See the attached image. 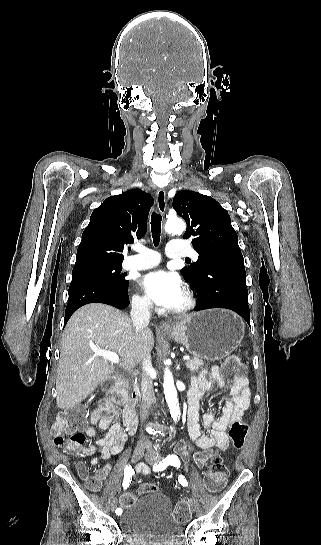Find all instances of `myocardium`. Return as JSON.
<instances>
[{
  "instance_id": "f54148a6",
  "label": "myocardium",
  "mask_w": 321,
  "mask_h": 545,
  "mask_svg": "<svg viewBox=\"0 0 321 545\" xmlns=\"http://www.w3.org/2000/svg\"><path fill=\"white\" fill-rule=\"evenodd\" d=\"M184 304L175 309V313L177 314H187L191 312L196 307V299L193 294V292L189 289H184Z\"/></svg>"
}]
</instances>
